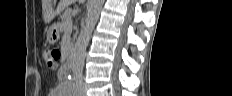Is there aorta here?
<instances>
[{
  "mask_svg": "<svg viewBox=\"0 0 232 96\" xmlns=\"http://www.w3.org/2000/svg\"><path fill=\"white\" fill-rule=\"evenodd\" d=\"M103 2L104 0H91L86 24L80 31L72 53V69L74 72H82L86 48L94 26L98 20L99 12Z\"/></svg>",
  "mask_w": 232,
  "mask_h": 96,
  "instance_id": "obj_1",
  "label": "aorta"
}]
</instances>
